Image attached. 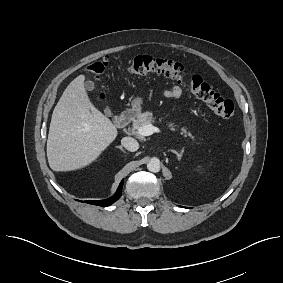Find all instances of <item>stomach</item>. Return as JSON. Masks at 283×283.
I'll use <instances>...</instances> for the list:
<instances>
[{"label":"stomach","mask_w":283,"mask_h":283,"mask_svg":"<svg viewBox=\"0 0 283 283\" xmlns=\"http://www.w3.org/2000/svg\"><path fill=\"white\" fill-rule=\"evenodd\" d=\"M142 104H143V99L141 97H135L131 103L132 110L140 111L142 109Z\"/></svg>","instance_id":"stomach-1"}]
</instances>
